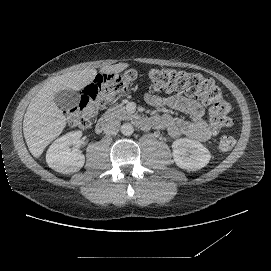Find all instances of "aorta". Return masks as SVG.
<instances>
[{
    "label": "aorta",
    "instance_id": "obj_1",
    "mask_svg": "<svg viewBox=\"0 0 271 271\" xmlns=\"http://www.w3.org/2000/svg\"><path fill=\"white\" fill-rule=\"evenodd\" d=\"M134 132V127L131 123H124L121 126V133L125 136H130Z\"/></svg>",
    "mask_w": 271,
    "mask_h": 271
}]
</instances>
